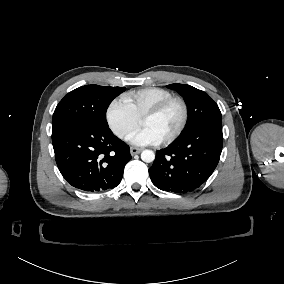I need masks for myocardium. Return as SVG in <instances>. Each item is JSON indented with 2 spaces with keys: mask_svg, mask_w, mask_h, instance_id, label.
<instances>
[{
  "mask_svg": "<svg viewBox=\"0 0 284 284\" xmlns=\"http://www.w3.org/2000/svg\"><path fill=\"white\" fill-rule=\"evenodd\" d=\"M178 103L181 106V118L179 121L178 126L176 127V129L164 140L160 141L161 145H168L171 142H173L184 130L187 120H188V106L187 103L185 102L184 99L180 98V97H170L166 100H164L163 102L159 103L158 105H156L155 107L151 108L150 110H148L143 116L142 119L145 118H153L156 116H159L160 114H162L164 111H166L170 106H172L173 104Z\"/></svg>",
  "mask_w": 284,
  "mask_h": 284,
  "instance_id": "myocardium-1",
  "label": "myocardium"
}]
</instances>
